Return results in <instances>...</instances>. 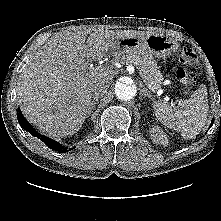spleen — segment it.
Returning a JSON list of instances; mask_svg holds the SVG:
<instances>
[{
    "label": "spleen",
    "mask_w": 221,
    "mask_h": 221,
    "mask_svg": "<svg viewBox=\"0 0 221 221\" xmlns=\"http://www.w3.org/2000/svg\"><path fill=\"white\" fill-rule=\"evenodd\" d=\"M207 89L201 85L191 98L174 107L166 102L154 103L155 115L160 122L170 129L179 131L183 138L192 139L202 130L207 121Z\"/></svg>",
    "instance_id": "spleen-1"
}]
</instances>
